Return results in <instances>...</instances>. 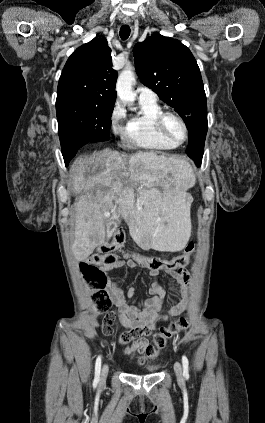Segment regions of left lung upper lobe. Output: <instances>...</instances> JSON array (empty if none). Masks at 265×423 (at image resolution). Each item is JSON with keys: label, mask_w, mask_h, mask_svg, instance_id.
Masks as SVG:
<instances>
[{"label": "left lung upper lobe", "mask_w": 265, "mask_h": 423, "mask_svg": "<svg viewBox=\"0 0 265 423\" xmlns=\"http://www.w3.org/2000/svg\"><path fill=\"white\" fill-rule=\"evenodd\" d=\"M141 82L173 107L189 129L188 156L200 165L207 125V102L197 62L180 41L153 34L133 49Z\"/></svg>", "instance_id": "5c2ea615"}]
</instances>
